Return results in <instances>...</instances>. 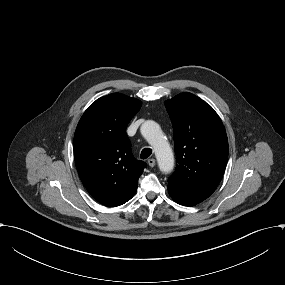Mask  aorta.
<instances>
[{
	"instance_id": "762f6f07",
	"label": "aorta",
	"mask_w": 285,
	"mask_h": 285,
	"mask_svg": "<svg viewBox=\"0 0 285 285\" xmlns=\"http://www.w3.org/2000/svg\"><path fill=\"white\" fill-rule=\"evenodd\" d=\"M140 130L144 138L154 148L160 170L162 172L172 171L174 166L173 152L159 125L154 121H146Z\"/></svg>"
}]
</instances>
